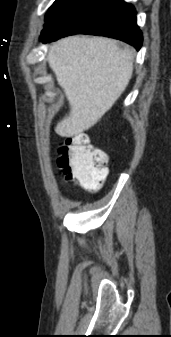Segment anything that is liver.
Returning <instances> with one entry per match:
<instances>
[{"mask_svg": "<svg viewBox=\"0 0 171 337\" xmlns=\"http://www.w3.org/2000/svg\"><path fill=\"white\" fill-rule=\"evenodd\" d=\"M47 59L70 105L69 115L55 128L61 137L94 126L124 92L133 72L131 53L103 37L64 38L50 47Z\"/></svg>", "mask_w": 171, "mask_h": 337, "instance_id": "6515ba94", "label": "liver"}]
</instances>
